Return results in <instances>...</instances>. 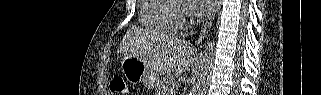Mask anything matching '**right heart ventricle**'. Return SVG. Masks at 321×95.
Listing matches in <instances>:
<instances>
[{
  "label": "right heart ventricle",
  "instance_id": "e07e8e85",
  "mask_svg": "<svg viewBox=\"0 0 321 95\" xmlns=\"http://www.w3.org/2000/svg\"><path fill=\"white\" fill-rule=\"evenodd\" d=\"M176 3L174 0H143L140 10L142 24L153 32H173L176 28Z\"/></svg>",
  "mask_w": 321,
  "mask_h": 95
}]
</instances>
